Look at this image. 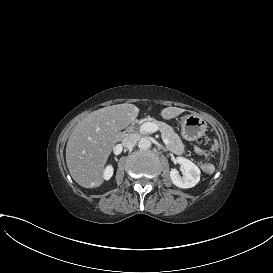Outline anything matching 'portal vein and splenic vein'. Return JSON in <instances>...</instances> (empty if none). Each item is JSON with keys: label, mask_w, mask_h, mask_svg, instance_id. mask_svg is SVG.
<instances>
[{"label": "portal vein and splenic vein", "mask_w": 273, "mask_h": 273, "mask_svg": "<svg viewBox=\"0 0 273 273\" xmlns=\"http://www.w3.org/2000/svg\"><path fill=\"white\" fill-rule=\"evenodd\" d=\"M158 129H159L158 125L155 123H152V122H146V123L142 124L140 127L141 131H145L148 133H154V132L158 131ZM160 139L162 140V142L165 145L169 144V141L165 138V136L163 134L160 136Z\"/></svg>", "instance_id": "18ae733b"}]
</instances>
